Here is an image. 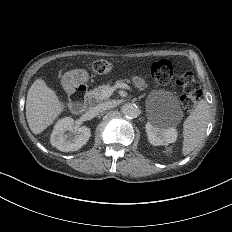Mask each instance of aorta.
I'll return each instance as SVG.
<instances>
[{"instance_id": "aorta-1", "label": "aorta", "mask_w": 232, "mask_h": 232, "mask_svg": "<svg viewBox=\"0 0 232 232\" xmlns=\"http://www.w3.org/2000/svg\"><path fill=\"white\" fill-rule=\"evenodd\" d=\"M121 112L125 117L133 119L139 115L140 109L133 103H126L122 106Z\"/></svg>"}]
</instances>
